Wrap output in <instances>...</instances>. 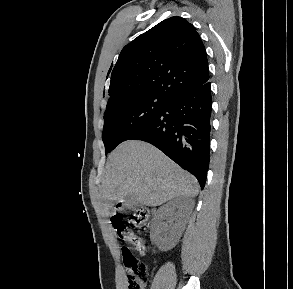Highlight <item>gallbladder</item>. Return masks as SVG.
Segmentation results:
<instances>
[{"label": "gallbladder", "instance_id": "obj_1", "mask_svg": "<svg viewBox=\"0 0 293 289\" xmlns=\"http://www.w3.org/2000/svg\"><path fill=\"white\" fill-rule=\"evenodd\" d=\"M140 203L137 201V199L133 195H128L123 201L122 209L123 212H129L131 210L136 209ZM115 210L111 209L110 214H114Z\"/></svg>", "mask_w": 293, "mask_h": 289}]
</instances>
